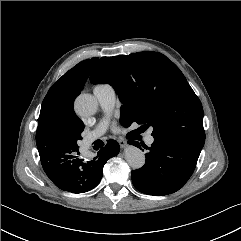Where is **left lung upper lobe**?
<instances>
[{
    "label": "left lung upper lobe",
    "instance_id": "1",
    "mask_svg": "<svg viewBox=\"0 0 241 241\" xmlns=\"http://www.w3.org/2000/svg\"><path fill=\"white\" fill-rule=\"evenodd\" d=\"M90 81L110 84L119 95L120 122L153 127L152 136H166L202 148L203 108L179 68L157 52L102 57Z\"/></svg>",
    "mask_w": 241,
    "mask_h": 241
}]
</instances>
